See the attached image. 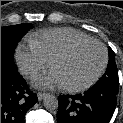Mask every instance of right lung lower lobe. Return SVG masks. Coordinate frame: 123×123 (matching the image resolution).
Returning a JSON list of instances; mask_svg holds the SVG:
<instances>
[{
  "instance_id": "98d812e1",
  "label": "right lung lower lobe",
  "mask_w": 123,
  "mask_h": 123,
  "mask_svg": "<svg viewBox=\"0 0 123 123\" xmlns=\"http://www.w3.org/2000/svg\"><path fill=\"white\" fill-rule=\"evenodd\" d=\"M37 100L17 68L1 63V123H24L26 112Z\"/></svg>"
}]
</instances>
